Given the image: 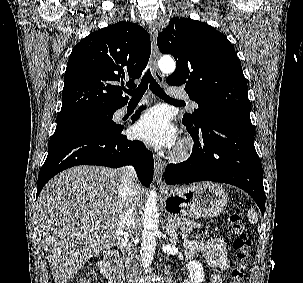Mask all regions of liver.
Here are the masks:
<instances>
[{
    "label": "liver",
    "mask_w": 303,
    "mask_h": 283,
    "mask_svg": "<svg viewBox=\"0 0 303 283\" xmlns=\"http://www.w3.org/2000/svg\"><path fill=\"white\" fill-rule=\"evenodd\" d=\"M122 169L76 166L52 178L38 197L44 250L55 283H68L117 238ZM139 204L144 188L135 179Z\"/></svg>",
    "instance_id": "obj_1"
}]
</instances>
